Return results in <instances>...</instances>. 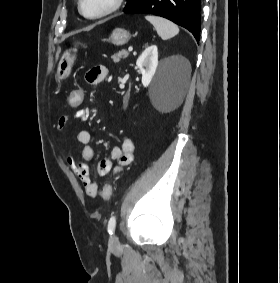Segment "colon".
<instances>
[{
  "instance_id": "5ec220e1",
  "label": "colon",
  "mask_w": 280,
  "mask_h": 283,
  "mask_svg": "<svg viewBox=\"0 0 280 283\" xmlns=\"http://www.w3.org/2000/svg\"><path fill=\"white\" fill-rule=\"evenodd\" d=\"M85 98L83 87H74V90H69V94H67L69 112H76V108H81ZM101 195L104 201H108L112 195V185L106 184Z\"/></svg>"
}]
</instances>
